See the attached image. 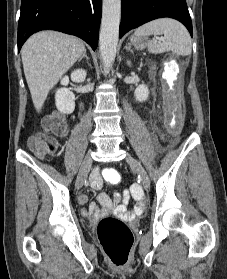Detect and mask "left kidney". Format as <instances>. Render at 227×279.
Listing matches in <instances>:
<instances>
[{
  "mask_svg": "<svg viewBox=\"0 0 227 279\" xmlns=\"http://www.w3.org/2000/svg\"><path fill=\"white\" fill-rule=\"evenodd\" d=\"M130 64V62H128ZM135 99L139 102L146 101L149 97V89L146 85H139L134 92Z\"/></svg>",
  "mask_w": 227,
  "mask_h": 279,
  "instance_id": "5707ae66",
  "label": "left kidney"
}]
</instances>
